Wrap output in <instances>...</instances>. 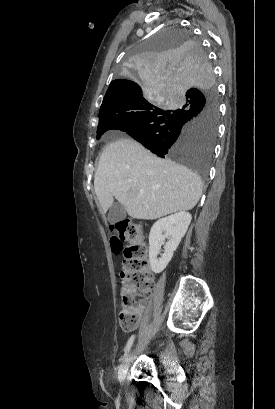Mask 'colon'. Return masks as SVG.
<instances>
[{"mask_svg": "<svg viewBox=\"0 0 275 409\" xmlns=\"http://www.w3.org/2000/svg\"><path fill=\"white\" fill-rule=\"evenodd\" d=\"M110 247L113 251L125 250L121 274V313L117 323L121 330H136L144 296L150 294L154 286L148 267L149 245L141 224L133 220L115 223L111 228Z\"/></svg>", "mask_w": 275, "mask_h": 409, "instance_id": "obj_1", "label": "colon"}]
</instances>
